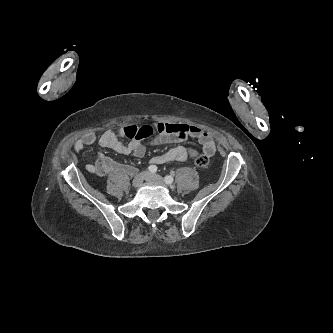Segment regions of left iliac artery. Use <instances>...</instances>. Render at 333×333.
Listing matches in <instances>:
<instances>
[{
    "label": "left iliac artery",
    "instance_id": "left-iliac-artery-1",
    "mask_svg": "<svg viewBox=\"0 0 333 333\" xmlns=\"http://www.w3.org/2000/svg\"><path fill=\"white\" fill-rule=\"evenodd\" d=\"M173 177L168 175V176H165L164 178V181L167 183V184H171L173 182Z\"/></svg>",
    "mask_w": 333,
    "mask_h": 333
}]
</instances>
